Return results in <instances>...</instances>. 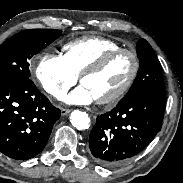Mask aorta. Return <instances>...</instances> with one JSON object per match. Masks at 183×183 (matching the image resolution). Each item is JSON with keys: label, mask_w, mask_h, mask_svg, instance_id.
<instances>
[{"label": "aorta", "mask_w": 183, "mask_h": 183, "mask_svg": "<svg viewBox=\"0 0 183 183\" xmlns=\"http://www.w3.org/2000/svg\"><path fill=\"white\" fill-rule=\"evenodd\" d=\"M71 124L78 130H84L89 127L90 118L86 112L75 110L70 115Z\"/></svg>", "instance_id": "1"}]
</instances>
